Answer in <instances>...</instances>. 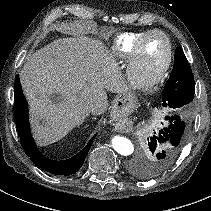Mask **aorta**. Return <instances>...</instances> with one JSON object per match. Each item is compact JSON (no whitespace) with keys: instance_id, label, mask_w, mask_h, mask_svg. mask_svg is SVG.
<instances>
[{"instance_id":"obj_1","label":"aorta","mask_w":211,"mask_h":211,"mask_svg":"<svg viewBox=\"0 0 211 211\" xmlns=\"http://www.w3.org/2000/svg\"><path fill=\"white\" fill-rule=\"evenodd\" d=\"M112 147L120 155L128 156L131 155L134 151V146L132 142L122 136H115L112 138Z\"/></svg>"}]
</instances>
